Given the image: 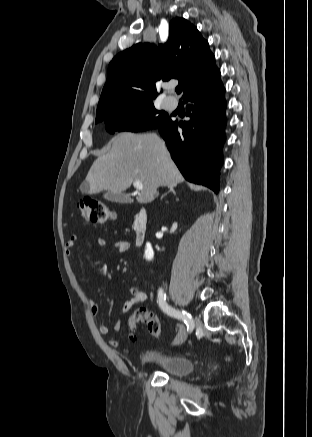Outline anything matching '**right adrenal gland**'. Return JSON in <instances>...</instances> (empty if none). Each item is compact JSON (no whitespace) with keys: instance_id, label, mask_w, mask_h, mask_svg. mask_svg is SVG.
Segmentation results:
<instances>
[{"instance_id":"2a0ac1e0","label":"right adrenal gland","mask_w":312,"mask_h":437,"mask_svg":"<svg viewBox=\"0 0 312 437\" xmlns=\"http://www.w3.org/2000/svg\"><path fill=\"white\" fill-rule=\"evenodd\" d=\"M168 192H172V193L175 195L176 192H175L174 186H170ZM168 192H167V193H168ZM167 193H165V194L162 196V198H163L165 195H167Z\"/></svg>"}]
</instances>
